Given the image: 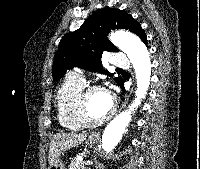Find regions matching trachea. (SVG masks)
I'll return each instance as SVG.
<instances>
[{"label": "trachea", "instance_id": "3493384b", "mask_svg": "<svg viewBox=\"0 0 200 169\" xmlns=\"http://www.w3.org/2000/svg\"><path fill=\"white\" fill-rule=\"evenodd\" d=\"M117 70H122L121 68H117Z\"/></svg>", "mask_w": 200, "mask_h": 169}]
</instances>
